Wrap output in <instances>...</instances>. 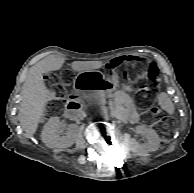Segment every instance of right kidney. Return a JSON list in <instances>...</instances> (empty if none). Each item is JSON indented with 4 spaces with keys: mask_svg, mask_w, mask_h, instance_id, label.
I'll list each match as a JSON object with an SVG mask.
<instances>
[{
    "mask_svg": "<svg viewBox=\"0 0 194 193\" xmlns=\"http://www.w3.org/2000/svg\"><path fill=\"white\" fill-rule=\"evenodd\" d=\"M61 127V122L59 117H52L44 125L41 133V139L43 143L49 148H67L73 144L74 134L71 128L60 136L59 130Z\"/></svg>",
    "mask_w": 194,
    "mask_h": 193,
    "instance_id": "1",
    "label": "right kidney"
}]
</instances>
